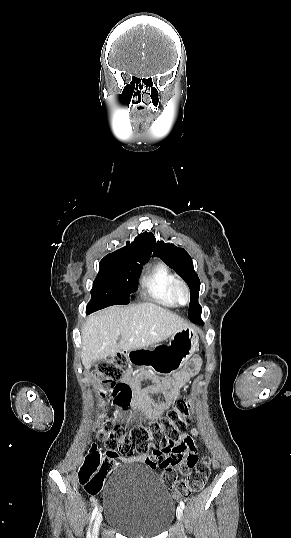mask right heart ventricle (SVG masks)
Returning <instances> with one entry per match:
<instances>
[{
	"mask_svg": "<svg viewBox=\"0 0 291 538\" xmlns=\"http://www.w3.org/2000/svg\"><path fill=\"white\" fill-rule=\"evenodd\" d=\"M176 277L171 269L161 261L149 265L141 283L147 295L164 306L176 305L172 296V285Z\"/></svg>",
	"mask_w": 291,
	"mask_h": 538,
	"instance_id": "e07e8e85",
	"label": "right heart ventricle"
}]
</instances>
